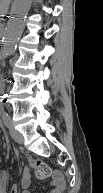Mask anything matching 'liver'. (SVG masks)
Here are the masks:
<instances>
[{"label":"liver","instance_id":"1","mask_svg":"<svg viewBox=\"0 0 103 193\" xmlns=\"http://www.w3.org/2000/svg\"><path fill=\"white\" fill-rule=\"evenodd\" d=\"M11 0H0V11L6 13Z\"/></svg>","mask_w":103,"mask_h":193}]
</instances>
